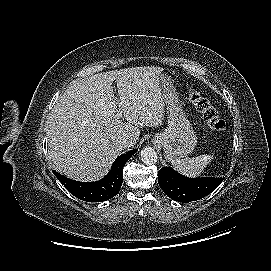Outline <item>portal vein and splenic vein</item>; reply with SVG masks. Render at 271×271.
<instances>
[{"label": "portal vein and splenic vein", "mask_w": 271, "mask_h": 271, "mask_svg": "<svg viewBox=\"0 0 271 271\" xmlns=\"http://www.w3.org/2000/svg\"><path fill=\"white\" fill-rule=\"evenodd\" d=\"M123 116L122 112L120 110L117 111L116 118L120 119Z\"/></svg>", "instance_id": "18ae733b"}]
</instances>
